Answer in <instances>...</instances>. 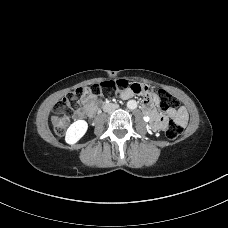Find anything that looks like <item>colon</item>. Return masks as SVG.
<instances>
[{
	"label": "colon",
	"instance_id": "colon-1",
	"mask_svg": "<svg viewBox=\"0 0 228 228\" xmlns=\"http://www.w3.org/2000/svg\"><path fill=\"white\" fill-rule=\"evenodd\" d=\"M110 88H130L132 92L137 95H142L146 98L150 96V90L148 87L139 83H129L126 79H116L97 83L91 88H78L74 92L64 97L61 103L55 109L52 116L55 132L58 135L63 134L70 121V112L80 106L85 96L89 92L99 94L102 92V90ZM158 96L159 106L163 111H172L179 106L178 99L165 90H160L158 92ZM182 131L183 128L180 124H178L175 120H169L165 131L169 139H177L182 134Z\"/></svg>",
	"mask_w": 228,
	"mask_h": 228
}]
</instances>
